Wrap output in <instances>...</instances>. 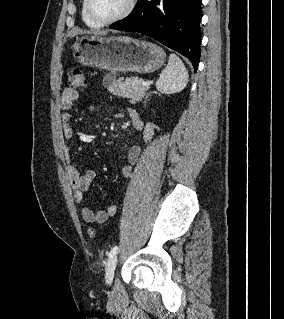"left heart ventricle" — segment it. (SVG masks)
Masks as SVG:
<instances>
[{
    "label": "left heart ventricle",
    "instance_id": "1",
    "mask_svg": "<svg viewBox=\"0 0 284 319\" xmlns=\"http://www.w3.org/2000/svg\"><path fill=\"white\" fill-rule=\"evenodd\" d=\"M127 0H91L93 14L102 20L118 15L126 6Z\"/></svg>",
    "mask_w": 284,
    "mask_h": 319
}]
</instances>
